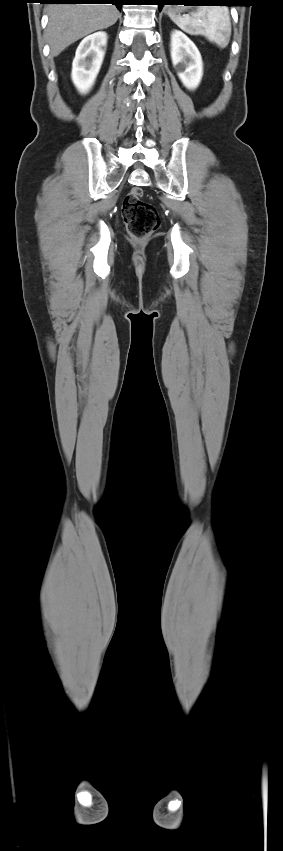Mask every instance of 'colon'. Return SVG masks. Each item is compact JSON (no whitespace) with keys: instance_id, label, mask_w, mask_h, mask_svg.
I'll list each match as a JSON object with an SVG mask.
<instances>
[{"instance_id":"obj_1","label":"colon","mask_w":283,"mask_h":851,"mask_svg":"<svg viewBox=\"0 0 283 851\" xmlns=\"http://www.w3.org/2000/svg\"><path fill=\"white\" fill-rule=\"evenodd\" d=\"M140 187L131 188L122 205V216L132 238L143 241L160 225L157 209L151 203L142 200Z\"/></svg>"}]
</instances>
